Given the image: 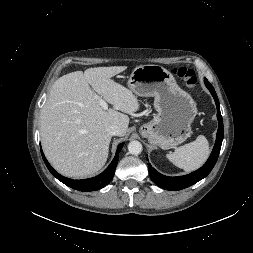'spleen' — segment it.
Masks as SVG:
<instances>
[{
    "label": "spleen",
    "instance_id": "3e777b00",
    "mask_svg": "<svg viewBox=\"0 0 253 253\" xmlns=\"http://www.w3.org/2000/svg\"><path fill=\"white\" fill-rule=\"evenodd\" d=\"M210 154L209 143L205 136L200 135L193 142L185 144L167 154V158L177 167L191 172L201 167Z\"/></svg>",
    "mask_w": 253,
    "mask_h": 253
}]
</instances>
